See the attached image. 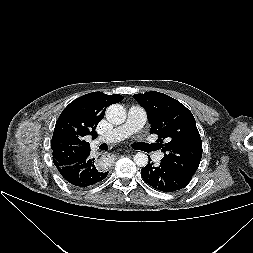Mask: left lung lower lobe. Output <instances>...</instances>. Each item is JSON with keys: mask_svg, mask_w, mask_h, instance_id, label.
Instances as JSON below:
<instances>
[{"mask_svg": "<svg viewBox=\"0 0 253 253\" xmlns=\"http://www.w3.org/2000/svg\"><path fill=\"white\" fill-rule=\"evenodd\" d=\"M150 161L141 169V176L153 188L163 192H174L184 188L190 182L162 161L157 166Z\"/></svg>", "mask_w": 253, "mask_h": 253, "instance_id": "1", "label": "left lung lower lobe"}]
</instances>
